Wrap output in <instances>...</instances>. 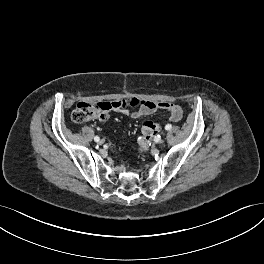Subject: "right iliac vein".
I'll return each mask as SVG.
<instances>
[{
    "mask_svg": "<svg viewBox=\"0 0 264 264\" xmlns=\"http://www.w3.org/2000/svg\"><path fill=\"white\" fill-rule=\"evenodd\" d=\"M103 143H104V140L103 139H101V140L98 141V144L99 145H102Z\"/></svg>",
    "mask_w": 264,
    "mask_h": 264,
    "instance_id": "63e3f726",
    "label": "right iliac vein"
}]
</instances>
